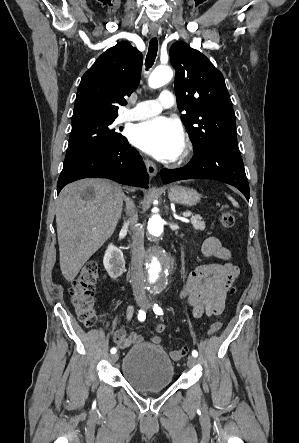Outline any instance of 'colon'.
Returning a JSON list of instances; mask_svg holds the SVG:
<instances>
[{
    "label": "colon",
    "instance_id": "1",
    "mask_svg": "<svg viewBox=\"0 0 299 443\" xmlns=\"http://www.w3.org/2000/svg\"><path fill=\"white\" fill-rule=\"evenodd\" d=\"M221 223L225 228H232L235 225V216L230 211H224L221 214ZM99 278V264L95 260L88 261L78 276L75 278L70 290L71 305L78 316V319L86 326L93 327L100 321L94 307L93 295L96 282ZM235 289L230 290L234 294ZM221 320L215 321L208 333L214 334L222 328ZM186 354V349L180 348L170 352L173 360H181Z\"/></svg>",
    "mask_w": 299,
    "mask_h": 443
}]
</instances>
